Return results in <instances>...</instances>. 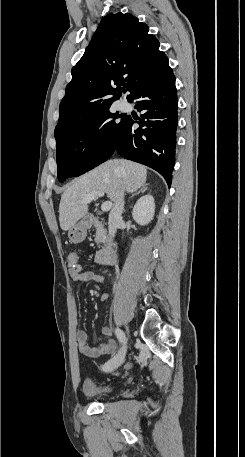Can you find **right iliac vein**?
Returning a JSON list of instances; mask_svg holds the SVG:
<instances>
[{
    "label": "right iliac vein",
    "mask_w": 245,
    "mask_h": 457,
    "mask_svg": "<svg viewBox=\"0 0 245 457\" xmlns=\"http://www.w3.org/2000/svg\"><path fill=\"white\" fill-rule=\"evenodd\" d=\"M125 352H126V346L123 347L122 349H120L116 356H114L113 358H111L104 364L103 370L112 371V370H115L116 368H118L125 358Z\"/></svg>",
    "instance_id": "right-iliac-vein-1"
}]
</instances>
